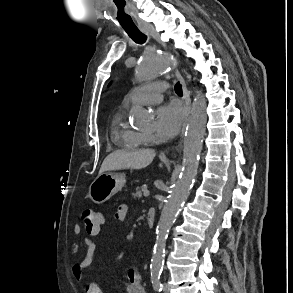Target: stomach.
<instances>
[{
    "label": "stomach",
    "mask_w": 293,
    "mask_h": 293,
    "mask_svg": "<svg viewBox=\"0 0 293 293\" xmlns=\"http://www.w3.org/2000/svg\"><path fill=\"white\" fill-rule=\"evenodd\" d=\"M123 174L103 173L89 187V198L96 204H102L119 192L125 185Z\"/></svg>",
    "instance_id": "0dacf381"
}]
</instances>
